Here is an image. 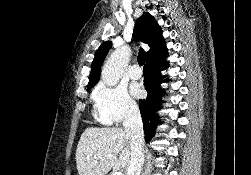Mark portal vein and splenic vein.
<instances>
[{
	"label": "portal vein and splenic vein",
	"mask_w": 251,
	"mask_h": 175,
	"mask_svg": "<svg viewBox=\"0 0 251 175\" xmlns=\"http://www.w3.org/2000/svg\"><path fill=\"white\" fill-rule=\"evenodd\" d=\"M112 175H123L121 169H116V171H113Z\"/></svg>",
	"instance_id": "1"
}]
</instances>
